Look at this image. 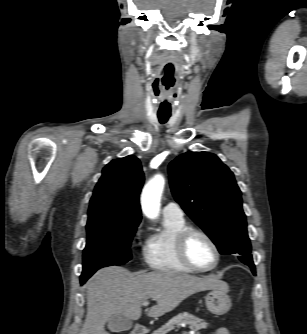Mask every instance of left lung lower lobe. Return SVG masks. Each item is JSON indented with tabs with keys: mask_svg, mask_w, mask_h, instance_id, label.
I'll return each instance as SVG.
<instances>
[{
	"mask_svg": "<svg viewBox=\"0 0 307 334\" xmlns=\"http://www.w3.org/2000/svg\"><path fill=\"white\" fill-rule=\"evenodd\" d=\"M252 272H253V274H255V268H252Z\"/></svg>",
	"mask_w": 307,
	"mask_h": 334,
	"instance_id": "0a47b994",
	"label": "left lung lower lobe"
}]
</instances>
